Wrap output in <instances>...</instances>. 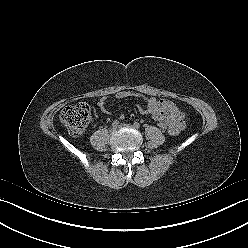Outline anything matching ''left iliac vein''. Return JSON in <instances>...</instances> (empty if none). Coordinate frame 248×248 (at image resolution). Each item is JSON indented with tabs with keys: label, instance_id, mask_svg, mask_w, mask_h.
<instances>
[{
	"label": "left iliac vein",
	"instance_id": "1",
	"mask_svg": "<svg viewBox=\"0 0 248 248\" xmlns=\"http://www.w3.org/2000/svg\"><path fill=\"white\" fill-rule=\"evenodd\" d=\"M120 127H134V126H132V125H130V124H124V123H123V124L120 125ZM134 128H135V127H134Z\"/></svg>",
	"mask_w": 248,
	"mask_h": 248
}]
</instances>
